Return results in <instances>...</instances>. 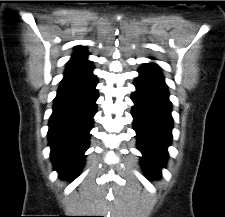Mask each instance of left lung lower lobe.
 <instances>
[{
    "label": "left lung lower lobe",
    "instance_id": "left-lung-lower-lobe-1",
    "mask_svg": "<svg viewBox=\"0 0 225 217\" xmlns=\"http://www.w3.org/2000/svg\"><path fill=\"white\" fill-rule=\"evenodd\" d=\"M139 73L134 83L136 91L132 94L137 147L143 154L141 165L146 175L159 178L172 138L171 102L158 65L146 64Z\"/></svg>",
    "mask_w": 225,
    "mask_h": 217
}]
</instances>
